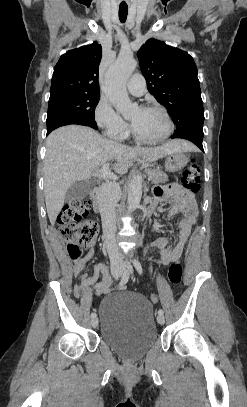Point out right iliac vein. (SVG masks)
<instances>
[{
	"mask_svg": "<svg viewBox=\"0 0 247 407\" xmlns=\"http://www.w3.org/2000/svg\"><path fill=\"white\" fill-rule=\"evenodd\" d=\"M111 272H112L113 277L115 279H118L121 276L122 272H123V266L119 265V264H114L111 267ZM91 324H92V326L94 328L97 327L98 326V319L93 318L92 321H91Z\"/></svg>",
	"mask_w": 247,
	"mask_h": 407,
	"instance_id": "obj_1",
	"label": "right iliac vein"
}]
</instances>
